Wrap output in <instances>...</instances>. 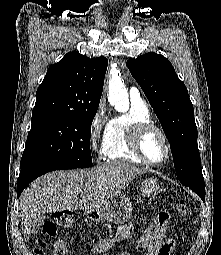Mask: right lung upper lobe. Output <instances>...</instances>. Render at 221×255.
I'll return each mask as SVG.
<instances>
[{
  "label": "right lung upper lobe",
  "mask_w": 221,
  "mask_h": 255,
  "mask_svg": "<svg viewBox=\"0 0 221 255\" xmlns=\"http://www.w3.org/2000/svg\"><path fill=\"white\" fill-rule=\"evenodd\" d=\"M108 61L69 52L52 65L38 87L32 114L97 111Z\"/></svg>",
  "instance_id": "right-lung-upper-lobe-1"
}]
</instances>
